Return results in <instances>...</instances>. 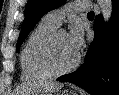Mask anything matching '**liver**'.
Here are the masks:
<instances>
[{
    "label": "liver",
    "instance_id": "1",
    "mask_svg": "<svg viewBox=\"0 0 119 95\" xmlns=\"http://www.w3.org/2000/svg\"><path fill=\"white\" fill-rule=\"evenodd\" d=\"M63 87V84L45 81L31 85H23L17 89V95H44L52 94Z\"/></svg>",
    "mask_w": 119,
    "mask_h": 95
}]
</instances>
